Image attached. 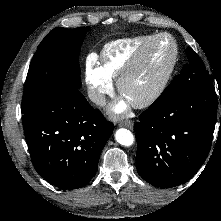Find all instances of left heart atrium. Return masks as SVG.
Instances as JSON below:
<instances>
[{
  "mask_svg": "<svg viewBox=\"0 0 221 221\" xmlns=\"http://www.w3.org/2000/svg\"><path fill=\"white\" fill-rule=\"evenodd\" d=\"M128 108L127 103L124 100H121L112 107V112L116 115L123 114Z\"/></svg>",
  "mask_w": 221,
  "mask_h": 221,
  "instance_id": "39dd6f15",
  "label": "left heart atrium"
}]
</instances>
